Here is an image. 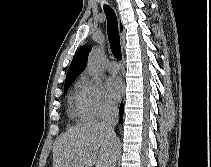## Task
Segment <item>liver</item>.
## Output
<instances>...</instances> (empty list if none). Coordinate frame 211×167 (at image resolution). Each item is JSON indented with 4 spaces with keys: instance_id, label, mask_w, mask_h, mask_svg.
<instances>
[{
    "instance_id": "obj_1",
    "label": "liver",
    "mask_w": 211,
    "mask_h": 167,
    "mask_svg": "<svg viewBox=\"0 0 211 167\" xmlns=\"http://www.w3.org/2000/svg\"><path fill=\"white\" fill-rule=\"evenodd\" d=\"M118 154V139L112 138L102 123L87 122L57 139L53 167H115Z\"/></svg>"
}]
</instances>
